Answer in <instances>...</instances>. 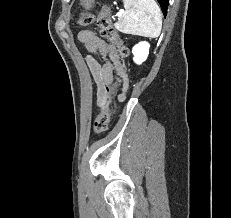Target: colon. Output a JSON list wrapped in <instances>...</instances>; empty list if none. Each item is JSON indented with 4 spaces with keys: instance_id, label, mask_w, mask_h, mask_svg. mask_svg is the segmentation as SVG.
<instances>
[{
    "instance_id": "colon-1",
    "label": "colon",
    "mask_w": 231,
    "mask_h": 218,
    "mask_svg": "<svg viewBox=\"0 0 231 218\" xmlns=\"http://www.w3.org/2000/svg\"><path fill=\"white\" fill-rule=\"evenodd\" d=\"M81 7L83 11L77 17V24L79 26H88L94 21V16L90 12L94 5V0H80ZM97 25L100 29V34L102 37L113 43L117 49L118 54L123 58H127L129 55L128 48L124 45L122 40L116 33L110 9L104 7L97 17ZM124 68H127V64H124ZM119 81H116L111 87L107 88L101 102H100V112L94 122V132L95 134H100L108 129V125L111 117V102L112 95L118 87Z\"/></svg>"
}]
</instances>
